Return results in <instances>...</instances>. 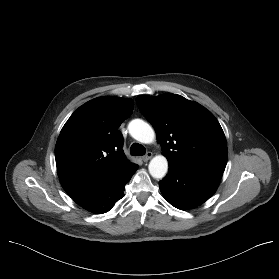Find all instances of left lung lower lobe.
<instances>
[{
	"instance_id": "obj_1",
	"label": "left lung lower lobe",
	"mask_w": 279,
	"mask_h": 279,
	"mask_svg": "<svg viewBox=\"0 0 279 279\" xmlns=\"http://www.w3.org/2000/svg\"><path fill=\"white\" fill-rule=\"evenodd\" d=\"M222 173L185 168L169 163L168 174L159 182L166 200L186 210L204 203L216 191Z\"/></svg>"
}]
</instances>
